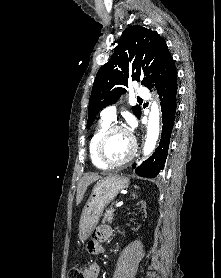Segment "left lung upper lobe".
Listing matches in <instances>:
<instances>
[{
    "instance_id": "obj_1",
    "label": "left lung upper lobe",
    "mask_w": 221,
    "mask_h": 278,
    "mask_svg": "<svg viewBox=\"0 0 221 278\" xmlns=\"http://www.w3.org/2000/svg\"><path fill=\"white\" fill-rule=\"evenodd\" d=\"M172 60L166 42L156 31L140 25L124 30L110 60L103 65L95 78L89 99L87 128L97 113L113 104L126 90L129 79L149 87ZM140 118L141 108L132 107Z\"/></svg>"
}]
</instances>
